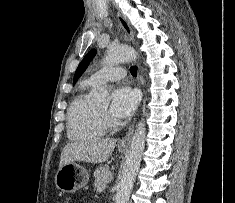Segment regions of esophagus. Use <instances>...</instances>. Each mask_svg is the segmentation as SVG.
Instances as JSON below:
<instances>
[{
  "label": "esophagus",
  "instance_id": "obj_1",
  "mask_svg": "<svg viewBox=\"0 0 235 203\" xmlns=\"http://www.w3.org/2000/svg\"><path fill=\"white\" fill-rule=\"evenodd\" d=\"M117 19H118L120 25L122 26L125 34L129 38V40L134 43V32H133L131 26L129 25V23L127 22V20L119 13H117ZM138 82H139V84L141 83V76L140 75L138 76ZM133 131H134V122L130 125L127 134L119 141L120 146H128L130 144L131 139H132V135H133Z\"/></svg>",
  "mask_w": 235,
  "mask_h": 203
}]
</instances>
